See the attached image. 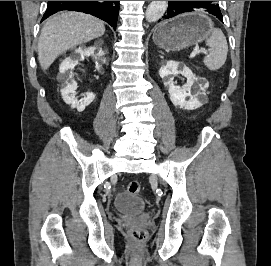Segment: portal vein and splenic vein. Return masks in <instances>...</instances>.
<instances>
[{"label":"portal vein and splenic vein","instance_id":"obj_1","mask_svg":"<svg viewBox=\"0 0 271 266\" xmlns=\"http://www.w3.org/2000/svg\"><path fill=\"white\" fill-rule=\"evenodd\" d=\"M199 53H207V51L206 50H200L199 49V47L198 46H196L195 48H194V50H193V52L191 53V55H190V58H194L197 54H199Z\"/></svg>","mask_w":271,"mask_h":266}]
</instances>
